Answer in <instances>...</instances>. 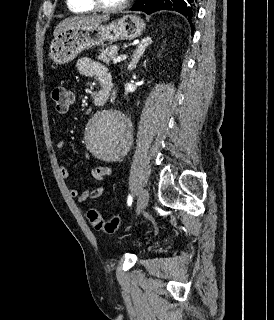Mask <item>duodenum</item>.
<instances>
[{
	"label": "duodenum",
	"mask_w": 274,
	"mask_h": 320,
	"mask_svg": "<svg viewBox=\"0 0 274 320\" xmlns=\"http://www.w3.org/2000/svg\"><path fill=\"white\" fill-rule=\"evenodd\" d=\"M108 100H109V94L107 92H99L94 96V98L92 99V102L95 105H101L108 102Z\"/></svg>",
	"instance_id": "duodenum-1"
}]
</instances>
